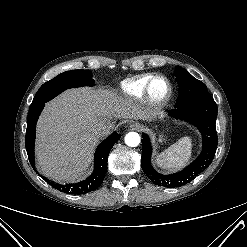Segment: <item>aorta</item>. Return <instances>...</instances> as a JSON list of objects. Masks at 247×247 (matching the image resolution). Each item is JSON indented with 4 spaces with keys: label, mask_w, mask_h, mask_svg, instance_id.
Here are the masks:
<instances>
[{
    "label": "aorta",
    "mask_w": 247,
    "mask_h": 247,
    "mask_svg": "<svg viewBox=\"0 0 247 247\" xmlns=\"http://www.w3.org/2000/svg\"><path fill=\"white\" fill-rule=\"evenodd\" d=\"M141 138L136 132H129L125 136V143L130 147H136L140 144Z\"/></svg>",
    "instance_id": "1"
}]
</instances>
